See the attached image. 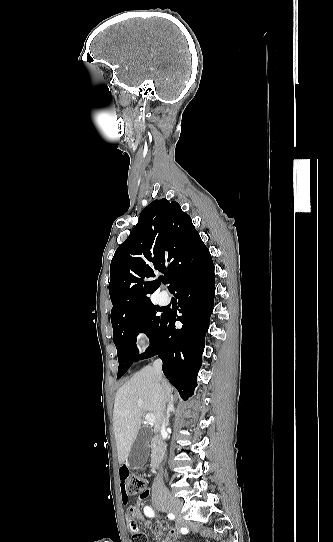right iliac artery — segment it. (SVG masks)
<instances>
[{
	"instance_id": "1",
	"label": "right iliac artery",
	"mask_w": 333,
	"mask_h": 542,
	"mask_svg": "<svg viewBox=\"0 0 333 542\" xmlns=\"http://www.w3.org/2000/svg\"><path fill=\"white\" fill-rule=\"evenodd\" d=\"M144 513L148 517H153L154 516V512L150 507H145L144 508Z\"/></svg>"
}]
</instances>
